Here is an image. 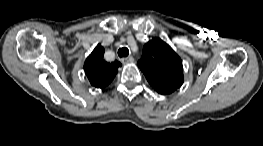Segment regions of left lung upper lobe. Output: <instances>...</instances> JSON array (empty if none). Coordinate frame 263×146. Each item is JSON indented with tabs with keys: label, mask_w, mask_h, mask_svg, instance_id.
I'll list each match as a JSON object with an SVG mask.
<instances>
[{
	"label": "left lung upper lobe",
	"mask_w": 263,
	"mask_h": 146,
	"mask_svg": "<svg viewBox=\"0 0 263 146\" xmlns=\"http://www.w3.org/2000/svg\"><path fill=\"white\" fill-rule=\"evenodd\" d=\"M138 66L159 94H170L183 84L182 61L160 38L154 37L145 44Z\"/></svg>",
	"instance_id": "1"
}]
</instances>
